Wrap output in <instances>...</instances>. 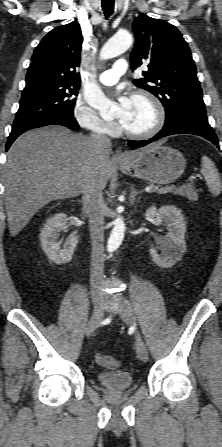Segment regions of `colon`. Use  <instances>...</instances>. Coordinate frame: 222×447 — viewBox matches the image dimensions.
Returning a JSON list of instances; mask_svg holds the SVG:
<instances>
[{"mask_svg":"<svg viewBox=\"0 0 222 447\" xmlns=\"http://www.w3.org/2000/svg\"><path fill=\"white\" fill-rule=\"evenodd\" d=\"M96 360L98 364L101 366H104L106 368L115 369L120 365V361L114 357L104 356V355H97Z\"/></svg>","mask_w":222,"mask_h":447,"instance_id":"obj_1","label":"colon"}]
</instances>
